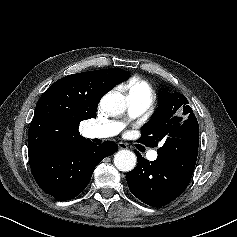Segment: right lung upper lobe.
Wrapping results in <instances>:
<instances>
[{
  "label": "right lung upper lobe",
  "mask_w": 237,
  "mask_h": 237,
  "mask_svg": "<svg viewBox=\"0 0 237 237\" xmlns=\"http://www.w3.org/2000/svg\"><path fill=\"white\" fill-rule=\"evenodd\" d=\"M123 69L111 68L65 76L40 97L28 133L29 157L82 139L79 123L94 118L103 93L124 81Z\"/></svg>",
  "instance_id": "1"
}]
</instances>
